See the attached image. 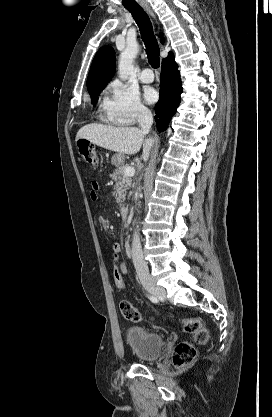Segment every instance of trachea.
Instances as JSON below:
<instances>
[{
  "label": "trachea",
  "instance_id": "1",
  "mask_svg": "<svg viewBox=\"0 0 272 417\" xmlns=\"http://www.w3.org/2000/svg\"><path fill=\"white\" fill-rule=\"evenodd\" d=\"M136 21L142 40L146 47L148 61L153 68L160 66V52L157 39L153 32L152 23L147 13L139 6L126 7Z\"/></svg>",
  "mask_w": 272,
  "mask_h": 417
}]
</instances>
